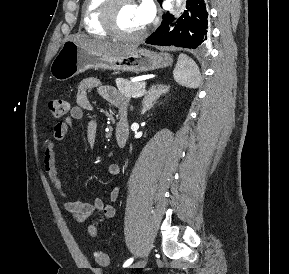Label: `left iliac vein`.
<instances>
[{
  "label": "left iliac vein",
  "mask_w": 289,
  "mask_h": 274,
  "mask_svg": "<svg viewBox=\"0 0 289 274\" xmlns=\"http://www.w3.org/2000/svg\"><path fill=\"white\" fill-rule=\"evenodd\" d=\"M145 265H146V260L142 259V260H139L136 263L132 264L130 266V268H141V267H144Z\"/></svg>",
  "instance_id": "1"
}]
</instances>
